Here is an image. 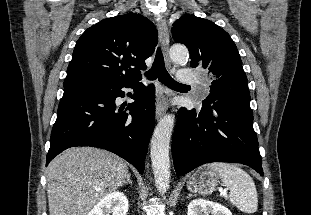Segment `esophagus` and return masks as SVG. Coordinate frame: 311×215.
<instances>
[{
  "label": "esophagus",
  "mask_w": 311,
  "mask_h": 215,
  "mask_svg": "<svg viewBox=\"0 0 311 215\" xmlns=\"http://www.w3.org/2000/svg\"><path fill=\"white\" fill-rule=\"evenodd\" d=\"M157 28L159 32L162 49L165 53L166 63L167 65H169V58L167 54L168 48H169V42H170L169 31H168L165 21L162 19L161 16H159V19L157 21ZM166 109H167L166 98H165V95H162L160 98H158L156 102V108H155L156 118L157 119L161 118V116L165 113Z\"/></svg>",
  "instance_id": "obj_1"
}]
</instances>
